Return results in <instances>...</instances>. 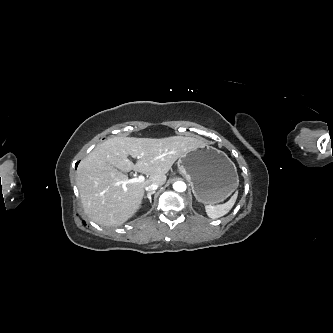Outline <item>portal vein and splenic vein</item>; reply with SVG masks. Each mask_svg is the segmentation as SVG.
<instances>
[{
    "mask_svg": "<svg viewBox=\"0 0 333 333\" xmlns=\"http://www.w3.org/2000/svg\"><path fill=\"white\" fill-rule=\"evenodd\" d=\"M144 179H145L144 176L140 175V176H138V178L127 179L125 181H122L121 183L123 185V188H126L127 184H131V183H135V182H141Z\"/></svg>",
    "mask_w": 333,
    "mask_h": 333,
    "instance_id": "1",
    "label": "portal vein and splenic vein"
}]
</instances>
